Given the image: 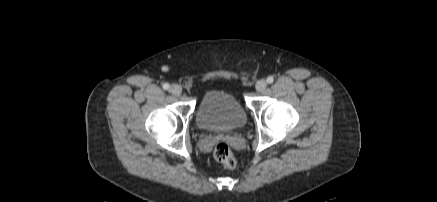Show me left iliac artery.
Returning <instances> with one entry per match:
<instances>
[{"instance_id":"44dca946","label":"left iliac artery","mask_w":437,"mask_h":202,"mask_svg":"<svg viewBox=\"0 0 437 202\" xmlns=\"http://www.w3.org/2000/svg\"><path fill=\"white\" fill-rule=\"evenodd\" d=\"M273 81H274V78H273L272 76H269V77L267 78V82H268L269 84L273 83Z\"/></svg>"}]
</instances>
